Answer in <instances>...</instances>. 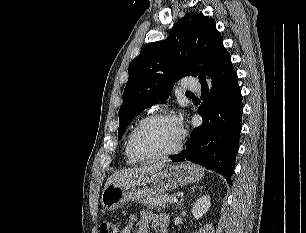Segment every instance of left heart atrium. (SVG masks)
Instances as JSON below:
<instances>
[{"label":"left heart atrium","instance_id":"obj_1","mask_svg":"<svg viewBox=\"0 0 306 233\" xmlns=\"http://www.w3.org/2000/svg\"><path fill=\"white\" fill-rule=\"evenodd\" d=\"M174 121H175V124H176L177 128L179 129V131H181L182 130V120H181V118L176 117L174 119Z\"/></svg>","mask_w":306,"mask_h":233}]
</instances>
